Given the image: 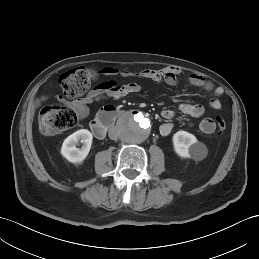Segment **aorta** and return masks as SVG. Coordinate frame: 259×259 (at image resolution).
Segmentation results:
<instances>
[{"label":"aorta","instance_id":"aorta-1","mask_svg":"<svg viewBox=\"0 0 259 259\" xmlns=\"http://www.w3.org/2000/svg\"><path fill=\"white\" fill-rule=\"evenodd\" d=\"M118 129L122 141L128 144H139L148 138L151 124L142 113H128L120 119Z\"/></svg>","mask_w":259,"mask_h":259}]
</instances>
